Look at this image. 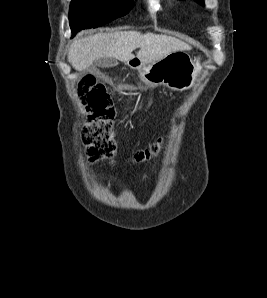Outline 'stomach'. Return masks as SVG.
Masks as SVG:
<instances>
[{
  "label": "stomach",
  "mask_w": 267,
  "mask_h": 298,
  "mask_svg": "<svg viewBox=\"0 0 267 298\" xmlns=\"http://www.w3.org/2000/svg\"><path fill=\"white\" fill-rule=\"evenodd\" d=\"M139 62L136 68L146 83L164 85L175 91L190 89L202 70L200 57L193 60L182 51L173 52L155 63Z\"/></svg>",
  "instance_id": "obj_1"
}]
</instances>
